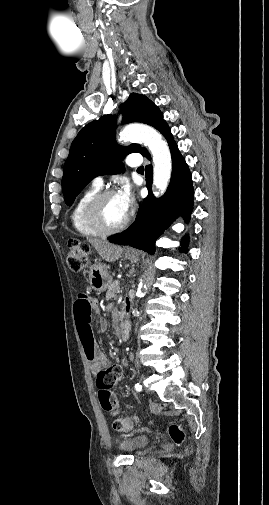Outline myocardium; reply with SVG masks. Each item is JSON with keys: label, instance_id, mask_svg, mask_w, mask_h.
<instances>
[{"label": "myocardium", "instance_id": "f54148a6", "mask_svg": "<svg viewBox=\"0 0 269 505\" xmlns=\"http://www.w3.org/2000/svg\"><path fill=\"white\" fill-rule=\"evenodd\" d=\"M116 192L112 189H107L98 192L92 197L85 208V219L89 226L101 235H112L124 230L130 222V217L127 215L125 220L117 226L109 227L101 219L100 209L103 202Z\"/></svg>", "mask_w": 269, "mask_h": 505}]
</instances>
